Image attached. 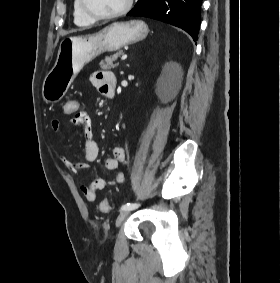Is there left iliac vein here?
I'll list each match as a JSON object with an SVG mask.
<instances>
[{
    "label": "left iliac vein",
    "mask_w": 280,
    "mask_h": 283,
    "mask_svg": "<svg viewBox=\"0 0 280 283\" xmlns=\"http://www.w3.org/2000/svg\"><path fill=\"white\" fill-rule=\"evenodd\" d=\"M129 212L130 210L128 209H125V210H122L117 219H116V226L119 227L123 224V222L125 221V219L127 218V216L129 215Z\"/></svg>",
    "instance_id": "1"
}]
</instances>
